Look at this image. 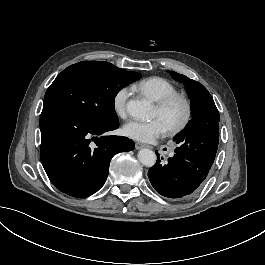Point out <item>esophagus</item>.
<instances>
[{
    "label": "esophagus",
    "instance_id": "esophagus-1",
    "mask_svg": "<svg viewBox=\"0 0 265 265\" xmlns=\"http://www.w3.org/2000/svg\"><path fill=\"white\" fill-rule=\"evenodd\" d=\"M135 148H136V150H140L142 148L152 149L153 147L151 145H148V144H145V143L137 142V143H135Z\"/></svg>",
    "mask_w": 265,
    "mask_h": 265
}]
</instances>
